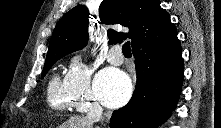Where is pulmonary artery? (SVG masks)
Segmentation results:
<instances>
[{"label": "pulmonary artery", "mask_w": 221, "mask_h": 128, "mask_svg": "<svg viewBox=\"0 0 221 128\" xmlns=\"http://www.w3.org/2000/svg\"><path fill=\"white\" fill-rule=\"evenodd\" d=\"M107 60L114 66H119L123 63L124 57L121 53V48L117 45L113 46L107 55Z\"/></svg>", "instance_id": "1"}]
</instances>
